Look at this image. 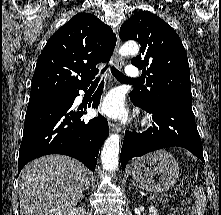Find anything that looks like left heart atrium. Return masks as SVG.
I'll return each mask as SVG.
<instances>
[{"mask_svg": "<svg viewBox=\"0 0 221 215\" xmlns=\"http://www.w3.org/2000/svg\"><path fill=\"white\" fill-rule=\"evenodd\" d=\"M99 111L109 118H124L127 114V110L124 105L123 96L117 91L108 93L101 101Z\"/></svg>", "mask_w": 221, "mask_h": 215, "instance_id": "obj_1", "label": "left heart atrium"}]
</instances>
